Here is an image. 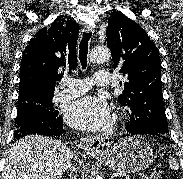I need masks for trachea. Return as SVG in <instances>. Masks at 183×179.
<instances>
[{
    "instance_id": "1",
    "label": "trachea",
    "mask_w": 183,
    "mask_h": 179,
    "mask_svg": "<svg viewBox=\"0 0 183 179\" xmlns=\"http://www.w3.org/2000/svg\"><path fill=\"white\" fill-rule=\"evenodd\" d=\"M90 37L91 33H84L79 45V59L83 69L87 66L88 42Z\"/></svg>"
}]
</instances>
